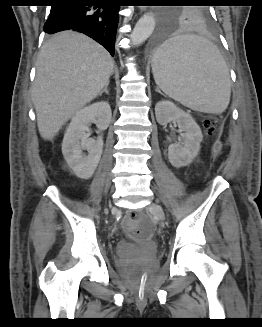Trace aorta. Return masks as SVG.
Instances as JSON below:
<instances>
[{"label":"aorta","instance_id":"1","mask_svg":"<svg viewBox=\"0 0 262 327\" xmlns=\"http://www.w3.org/2000/svg\"><path fill=\"white\" fill-rule=\"evenodd\" d=\"M155 28V16L153 13L144 14L136 23L132 33L131 41L134 46L140 45L150 37Z\"/></svg>","mask_w":262,"mask_h":327}]
</instances>
